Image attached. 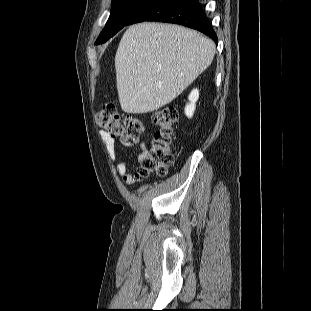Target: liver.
<instances>
[{
	"mask_svg": "<svg viewBox=\"0 0 311 311\" xmlns=\"http://www.w3.org/2000/svg\"><path fill=\"white\" fill-rule=\"evenodd\" d=\"M214 55V42L194 30L147 22L130 26L115 55L122 110L142 114L169 104L209 67Z\"/></svg>",
	"mask_w": 311,
	"mask_h": 311,
	"instance_id": "1",
	"label": "liver"
}]
</instances>
